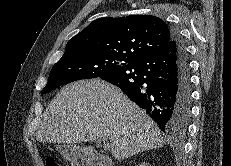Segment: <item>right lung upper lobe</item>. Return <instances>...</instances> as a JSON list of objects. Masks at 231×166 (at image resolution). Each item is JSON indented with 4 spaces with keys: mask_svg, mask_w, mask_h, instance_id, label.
Segmentation results:
<instances>
[{
    "mask_svg": "<svg viewBox=\"0 0 231 166\" xmlns=\"http://www.w3.org/2000/svg\"><path fill=\"white\" fill-rule=\"evenodd\" d=\"M171 40L172 30L158 17H105L91 22L71 38L64 55L94 51L131 62L162 50Z\"/></svg>",
    "mask_w": 231,
    "mask_h": 166,
    "instance_id": "cb5924a9",
    "label": "right lung upper lobe"
}]
</instances>
